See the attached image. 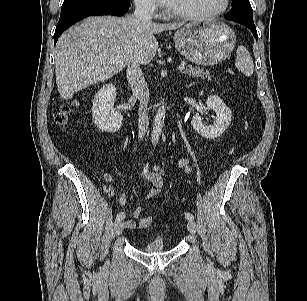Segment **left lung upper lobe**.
<instances>
[{
	"label": "left lung upper lobe",
	"mask_w": 307,
	"mask_h": 301,
	"mask_svg": "<svg viewBox=\"0 0 307 301\" xmlns=\"http://www.w3.org/2000/svg\"><path fill=\"white\" fill-rule=\"evenodd\" d=\"M225 18L253 23V11L249 0H232V9Z\"/></svg>",
	"instance_id": "5c2ea615"
}]
</instances>
